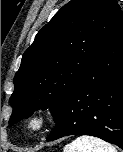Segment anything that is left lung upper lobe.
<instances>
[{"mask_svg": "<svg viewBox=\"0 0 123 152\" xmlns=\"http://www.w3.org/2000/svg\"><path fill=\"white\" fill-rule=\"evenodd\" d=\"M120 14L116 0H72L55 14L23 54L10 97V125L38 109H49L57 120Z\"/></svg>", "mask_w": 123, "mask_h": 152, "instance_id": "1", "label": "left lung upper lobe"}]
</instances>
